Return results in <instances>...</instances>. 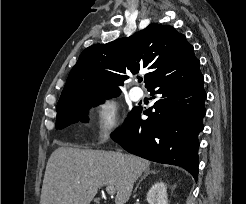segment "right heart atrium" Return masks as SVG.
I'll list each match as a JSON object with an SVG mask.
<instances>
[{"instance_id":"d8ad5b80","label":"right heart atrium","mask_w":246,"mask_h":204,"mask_svg":"<svg viewBox=\"0 0 246 204\" xmlns=\"http://www.w3.org/2000/svg\"><path fill=\"white\" fill-rule=\"evenodd\" d=\"M120 125V113L116 100L110 96L95 101L93 112V139L98 144L106 143Z\"/></svg>"}]
</instances>
